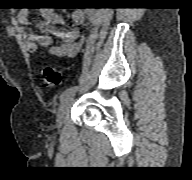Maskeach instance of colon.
<instances>
[{
    "label": "colon",
    "mask_w": 192,
    "mask_h": 180,
    "mask_svg": "<svg viewBox=\"0 0 192 180\" xmlns=\"http://www.w3.org/2000/svg\"><path fill=\"white\" fill-rule=\"evenodd\" d=\"M43 81L47 86H54L60 83L61 74L60 72L53 66H45L42 69Z\"/></svg>",
    "instance_id": "colon-1"
}]
</instances>
